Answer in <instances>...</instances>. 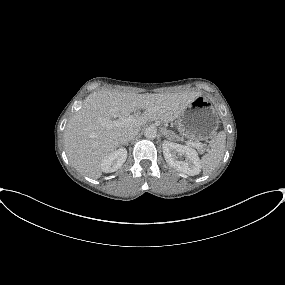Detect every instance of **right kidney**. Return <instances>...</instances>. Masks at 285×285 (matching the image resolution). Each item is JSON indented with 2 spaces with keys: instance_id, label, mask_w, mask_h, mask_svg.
Masks as SVG:
<instances>
[{
  "instance_id": "1",
  "label": "right kidney",
  "mask_w": 285,
  "mask_h": 285,
  "mask_svg": "<svg viewBox=\"0 0 285 285\" xmlns=\"http://www.w3.org/2000/svg\"><path fill=\"white\" fill-rule=\"evenodd\" d=\"M127 159V150L119 148L106 157L101 163V169L105 173L115 172L121 168Z\"/></svg>"
}]
</instances>
